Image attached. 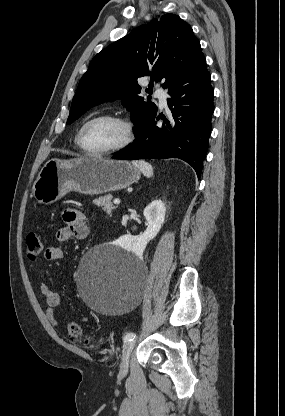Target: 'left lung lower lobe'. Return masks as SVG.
Wrapping results in <instances>:
<instances>
[{
	"mask_svg": "<svg viewBox=\"0 0 285 416\" xmlns=\"http://www.w3.org/2000/svg\"><path fill=\"white\" fill-rule=\"evenodd\" d=\"M168 89L172 98L167 103L173 117L161 118L165 123L160 128L156 126L155 116L136 134L132 145L116 152L112 158H179L190 164L200 179L214 110V91L204 55Z\"/></svg>",
	"mask_w": 285,
	"mask_h": 416,
	"instance_id": "0a47b994",
	"label": "left lung lower lobe"
}]
</instances>
